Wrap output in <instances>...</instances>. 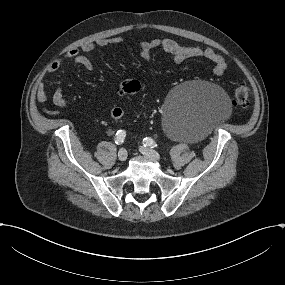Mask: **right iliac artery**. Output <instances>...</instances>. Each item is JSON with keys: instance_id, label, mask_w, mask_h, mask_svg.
<instances>
[{"instance_id": "1", "label": "right iliac artery", "mask_w": 285, "mask_h": 285, "mask_svg": "<svg viewBox=\"0 0 285 285\" xmlns=\"http://www.w3.org/2000/svg\"><path fill=\"white\" fill-rule=\"evenodd\" d=\"M125 137H126V132L124 130L117 131L115 137V143L117 145H121L124 142Z\"/></svg>"}]
</instances>
